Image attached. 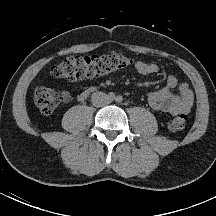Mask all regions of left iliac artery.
<instances>
[{
  "label": "left iliac artery",
  "instance_id": "1",
  "mask_svg": "<svg viewBox=\"0 0 216 216\" xmlns=\"http://www.w3.org/2000/svg\"><path fill=\"white\" fill-rule=\"evenodd\" d=\"M122 100H123L122 96L119 95V96L116 97L117 102H121Z\"/></svg>",
  "mask_w": 216,
  "mask_h": 216
}]
</instances>
